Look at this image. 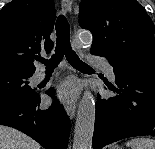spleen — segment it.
<instances>
[{
  "mask_svg": "<svg viewBox=\"0 0 155 149\" xmlns=\"http://www.w3.org/2000/svg\"><path fill=\"white\" fill-rule=\"evenodd\" d=\"M126 146L131 149H155V140L146 137L133 138L126 143Z\"/></svg>",
  "mask_w": 155,
  "mask_h": 149,
  "instance_id": "1",
  "label": "spleen"
}]
</instances>
